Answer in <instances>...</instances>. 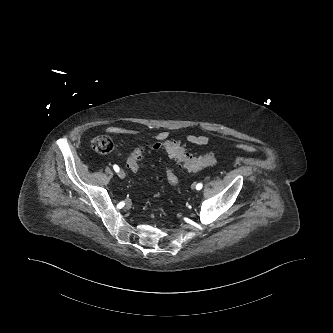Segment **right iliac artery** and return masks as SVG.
I'll list each match as a JSON object with an SVG mask.
<instances>
[{
    "label": "right iliac artery",
    "mask_w": 333,
    "mask_h": 333,
    "mask_svg": "<svg viewBox=\"0 0 333 333\" xmlns=\"http://www.w3.org/2000/svg\"><path fill=\"white\" fill-rule=\"evenodd\" d=\"M113 168H114V170H115L116 172L119 171V167H118L117 165H114Z\"/></svg>",
    "instance_id": "right-iliac-artery-1"
}]
</instances>
